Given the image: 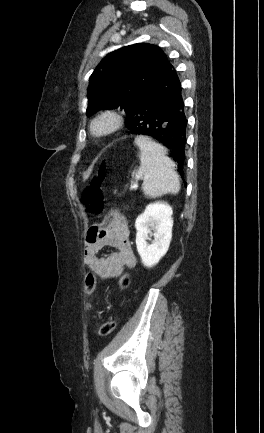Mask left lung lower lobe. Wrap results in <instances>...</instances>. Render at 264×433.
<instances>
[{
	"label": "left lung lower lobe",
	"mask_w": 264,
	"mask_h": 433,
	"mask_svg": "<svg viewBox=\"0 0 264 433\" xmlns=\"http://www.w3.org/2000/svg\"><path fill=\"white\" fill-rule=\"evenodd\" d=\"M126 126L131 134L149 136L166 146L183 177L187 120L181 83L169 62L138 95L126 114Z\"/></svg>",
	"instance_id": "1"
}]
</instances>
